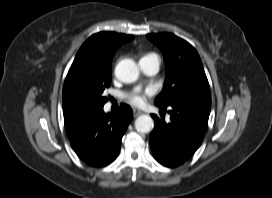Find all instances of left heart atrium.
<instances>
[{"mask_svg": "<svg viewBox=\"0 0 272 198\" xmlns=\"http://www.w3.org/2000/svg\"><path fill=\"white\" fill-rule=\"evenodd\" d=\"M149 95L150 93L148 91L144 93H137V94L130 95L128 100L132 105L140 106L145 102L146 98Z\"/></svg>", "mask_w": 272, "mask_h": 198, "instance_id": "39dd6f15", "label": "left heart atrium"}]
</instances>
